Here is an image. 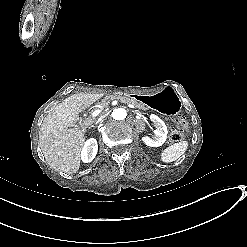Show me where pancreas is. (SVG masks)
I'll use <instances>...</instances> for the list:
<instances>
[{"label":"pancreas","instance_id":"pancreas-1","mask_svg":"<svg viewBox=\"0 0 247 247\" xmlns=\"http://www.w3.org/2000/svg\"><path fill=\"white\" fill-rule=\"evenodd\" d=\"M116 97L119 100H124L126 103H130V104L135 105L138 108H142V110L144 112H147L149 110V105L146 102H142L141 100H137L136 98H132L131 96L124 94V93H119V94L111 93L104 100H101L99 103H96V106H100L103 103H106L107 101H109V99L114 100ZM96 108L97 107L92 108L91 112H93Z\"/></svg>","mask_w":247,"mask_h":247}]
</instances>
